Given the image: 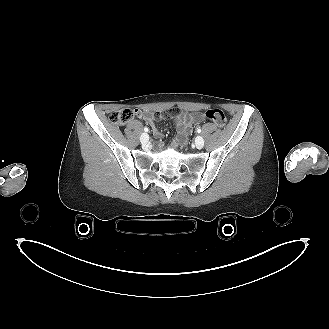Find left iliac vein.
Instances as JSON below:
<instances>
[{
	"label": "left iliac vein",
	"mask_w": 329,
	"mask_h": 329,
	"mask_svg": "<svg viewBox=\"0 0 329 329\" xmlns=\"http://www.w3.org/2000/svg\"><path fill=\"white\" fill-rule=\"evenodd\" d=\"M195 145H196V147L198 149L203 148V146H204V139H203V137L197 136L196 139H195Z\"/></svg>",
	"instance_id": "left-iliac-vein-1"
}]
</instances>
